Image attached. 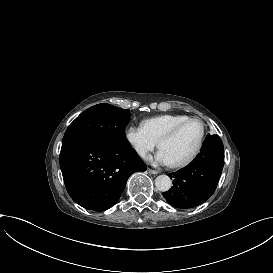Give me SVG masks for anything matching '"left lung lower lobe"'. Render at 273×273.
Listing matches in <instances>:
<instances>
[{
    "mask_svg": "<svg viewBox=\"0 0 273 273\" xmlns=\"http://www.w3.org/2000/svg\"><path fill=\"white\" fill-rule=\"evenodd\" d=\"M224 166V147L216 134H207L201 152L186 167L169 174L170 190L163 193L166 201L176 208L196 207L214 193Z\"/></svg>",
    "mask_w": 273,
    "mask_h": 273,
    "instance_id": "1",
    "label": "left lung lower lobe"
}]
</instances>
